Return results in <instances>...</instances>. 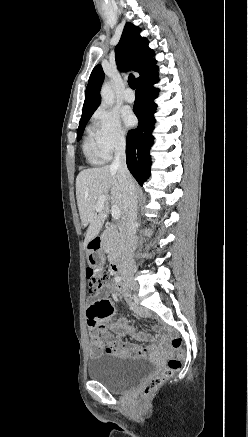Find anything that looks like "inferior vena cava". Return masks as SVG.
I'll return each instance as SVG.
<instances>
[{"mask_svg": "<svg viewBox=\"0 0 248 437\" xmlns=\"http://www.w3.org/2000/svg\"><path fill=\"white\" fill-rule=\"evenodd\" d=\"M125 139L115 145V156L111 168L117 171L118 181L124 192V216L122 219V238L124 242L123 259L125 267L134 266L133 254L137 245L135 225L137 220V194L134 180L126 165Z\"/></svg>", "mask_w": 248, "mask_h": 437, "instance_id": "1", "label": "inferior vena cava"}]
</instances>
